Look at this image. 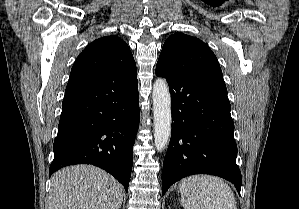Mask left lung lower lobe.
Wrapping results in <instances>:
<instances>
[{"label": "left lung lower lobe", "instance_id": "obj_1", "mask_svg": "<svg viewBox=\"0 0 299 209\" xmlns=\"http://www.w3.org/2000/svg\"><path fill=\"white\" fill-rule=\"evenodd\" d=\"M167 79L172 96V130L163 162V195L176 181L192 174H211L232 182L240 193L237 145L231 106L223 78L173 74Z\"/></svg>", "mask_w": 299, "mask_h": 209}]
</instances>
